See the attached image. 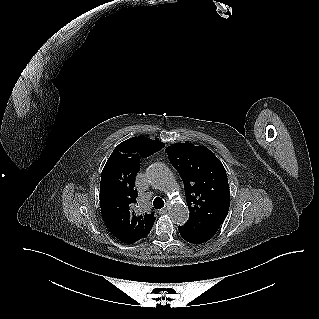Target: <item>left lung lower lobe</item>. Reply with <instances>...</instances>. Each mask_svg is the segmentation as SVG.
I'll list each match as a JSON object with an SVG mask.
<instances>
[{"instance_id":"obj_1","label":"left lung lower lobe","mask_w":319,"mask_h":319,"mask_svg":"<svg viewBox=\"0 0 319 319\" xmlns=\"http://www.w3.org/2000/svg\"><path fill=\"white\" fill-rule=\"evenodd\" d=\"M219 227L220 225L216 223L189 219L183 226H179L178 229L183 239L193 244H200L211 239Z\"/></svg>"}]
</instances>
